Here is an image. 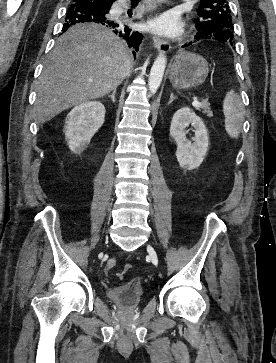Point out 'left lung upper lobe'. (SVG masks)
I'll list each match as a JSON object with an SVG mask.
<instances>
[{"instance_id":"1","label":"left lung upper lobe","mask_w":276,"mask_h":363,"mask_svg":"<svg viewBox=\"0 0 276 363\" xmlns=\"http://www.w3.org/2000/svg\"><path fill=\"white\" fill-rule=\"evenodd\" d=\"M197 13L200 17L196 24L198 32L207 38L231 42L233 23L227 0H202Z\"/></svg>"}]
</instances>
